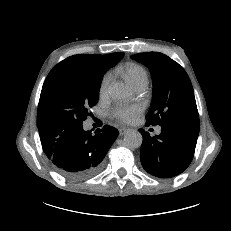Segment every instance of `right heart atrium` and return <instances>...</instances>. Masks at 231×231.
I'll list each match as a JSON object with an SVG mask.
<instances>
[{
    "label": "right heart atrium",
    "mask_w": 231,
    "mask_h": 231,
    "mask_svg": "<svg viewBox=\"0 0 231 231\" xmlns=\"http://www.w3.org/2000/svg\"><path fill=\"white\" fill-rule=\"evenodd\" d=\"M111 80H112V76H111L110 73H106L102 77V79L100 81V84H99V95H100V97H102V98L106 97V95L108 93L110 83H111Z\"/></svg>",
    "instance_id": "d8ad5b80"
}]
</instances>
